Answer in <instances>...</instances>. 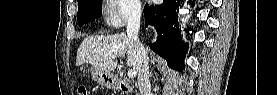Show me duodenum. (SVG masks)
Instances as JSON below:
<instances>
[{
  "label": "duodenum",
  "instance_id": "duodenum-1",
  "mask_svg": "<svg viewBox=\"0 0 277 95\" xmlns=\"http://www.w3.org/2000/svg\"><path fill=\"white\" fill-rule=\"evenodd\" d=\"M118 85H119V88L123 91V92H126V93H131L133 92V88L130 87L129 83L125 80H120L118 82Z\"/></svg>",
  "mask_w": 277,
  "mask_h": 95
}]
</instances>
